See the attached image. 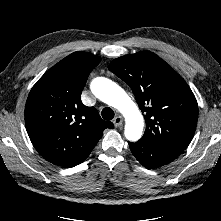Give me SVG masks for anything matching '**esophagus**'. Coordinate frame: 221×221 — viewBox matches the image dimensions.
Returning <instances> with one entry per match:
<instances>
[{
    "label": "esophagus",
    "instance_id": "1",
    "mask_svg": "<svg viewBox=\"0 0 221 221\" xmlns=\"http://www.w3.org/2000/svg\"><path fill=\"white\" fill-rule=\"evenodd\" d=\"M113 123H114L115 127H120L123 124V118L121 116H116L113 119Z\"/></svg>",
    "mask_w": 221,
    "mask_h": 221
}]
</instances>
